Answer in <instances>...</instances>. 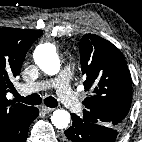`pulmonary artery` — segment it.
Masks as SVG:
<instances>
[{"instance_id": "e3ab8cb5", "label": "pulmonary artery", "mask_w": 142, "mask_h": 142, "mask_svg": "<svg viewBox=\"0 0 142 142\" xmlns=\"http://www.w3.org/2000/svg\"><path fill=\"white\" fill-rule=\"evenodd\" d=\"M71 71L70 69L63 70L60 75L49 81L40 83H31L21 85L20 90L25 93H32L38 90L55 88L61 98V101L72 113L81 111L82 103L70 86Z\"/></svg>"}]
</instances>
